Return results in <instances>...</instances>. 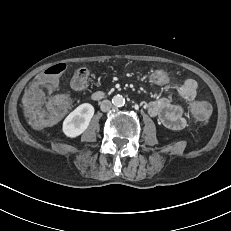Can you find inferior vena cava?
<instances>
[{
    "label": "inferior vena cava",
    "instance_id": "602c4592",
    "mask_svg": "<svg viewBox=\"0 0 231 231\" xmlns=\"http://www.w3.org/2000/svg\"><path fill=\"white\" fill-rule=\"evenodd\" d=\"M112 106H113V104L111 103V101H109V100H103L101 102L100 108H101V111L107 112V111H109L112 108Z\"/></svg>",
    "mask_w": 231,
    "mask_h": 231
}]
</instances>
